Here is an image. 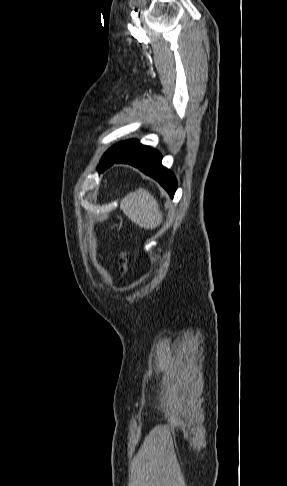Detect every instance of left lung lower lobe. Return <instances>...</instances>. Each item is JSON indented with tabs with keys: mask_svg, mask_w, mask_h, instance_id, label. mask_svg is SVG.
Wrapping results in <instances>:
<instances>
[{
	"mask_svg": "<svg viewBox=\"0 0 287 486\" xmlns=\"http://www.w3.org/2000/svg\"><path fill=\"white\" fill-rule=\"evenodd\" d=\"M161 160L162 157L158 151L148 146H143L128 154L109 158L103 162L99 172H103L114 163L131 164L146 175L157 180L169 195L173 197L177 188L176 179L171 171L162 166Z\"/></svg>",
	"mask_w": 287,
	"mask_h": 486,
	"instance_id": "obj_1",
	"label": "left lung lower lobe"
}]
</instances>
